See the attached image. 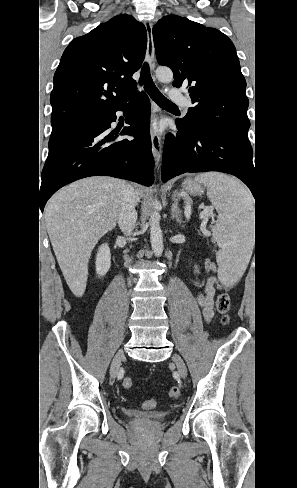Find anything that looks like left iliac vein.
<instances>
[{
    "label": "left iliac vein",
    "instance_id": "1",
    "mask_svg": "<svg viewBox=\"0 0 297 488\" xmlns=\"http://www.w3.org/2000/svg\"><path fill=\"white\" fill-rule=\"evenodd\" d=\"M172 360L177 366L178 372L181 375L182 378H185L187 375V368L185 366V363L181 359V357L177 354L173 355Z\"/></svg>",
    "mask_w": 297,
    "mask_h": 488
}]
</instances>
